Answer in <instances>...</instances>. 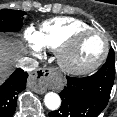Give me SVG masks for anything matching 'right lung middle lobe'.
<instances>
[{
	"label": "right lung middle lobe",
	"mask_w": 117,
	"mask_h": 117,
	"mask_svg": "<svg viewBox=\"0 0 117 117\" xmlns=\"http://www.w3.org/2000/svg\"><path fill=\"white\" fill-rule=\"evenodd\" d=\"M26 14L20 10H0V32H17L23 25V16Z\"/></svg>",
	"instance_id": "1"
}]
</instances>
